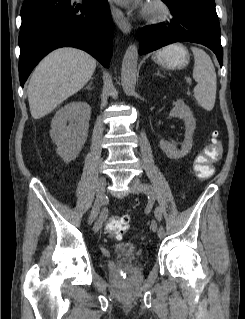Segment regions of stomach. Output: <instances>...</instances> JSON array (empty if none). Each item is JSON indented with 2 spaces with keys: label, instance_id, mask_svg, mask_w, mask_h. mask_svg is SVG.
<instances>
[{
  "label": "stomach",
  "instance_id": "1",
  "mask_svg": "<svg viewBox=\"0 0 245 319\" xmlns=\"http://www.w3.org/2000/svg\"><path fill=\"white\" fill-rule=\"evenodd\" d=\"M153 59L167 69H181L189 63V53L182 44L176 43L157 51Z\"/></svg>",
  "mask_w": 245,
  "mask_h": 319
}]
</instances>
